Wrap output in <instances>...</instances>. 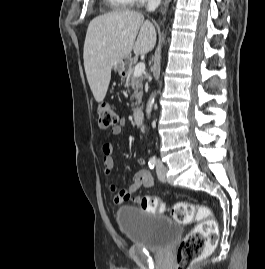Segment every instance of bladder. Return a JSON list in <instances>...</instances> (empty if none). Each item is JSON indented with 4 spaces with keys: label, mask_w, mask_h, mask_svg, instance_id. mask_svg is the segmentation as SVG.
I'll list each match as a JSON object with an SVG mask.
<instances>
[{
    "label": "bladder",
    "mask_w": 265,
    "mask_h": 269,
    "mask_svg": "<svg viewBox=\"0 0 265 269\" xmlns=\"http://www.w3.org/2000/svg\"><path fill=\"white\" fill-rule=\"evenodd\" d=\"M116 221L128 242L151 251H164L181 235L179 223L169 217L146 213L133 205L120 207Z\"/></svg>",
    "instance_id": "1"
}]
</instances>
